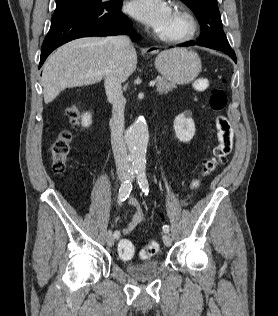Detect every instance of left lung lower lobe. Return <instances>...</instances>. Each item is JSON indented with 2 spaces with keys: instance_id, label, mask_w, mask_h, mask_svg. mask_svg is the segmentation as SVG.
I'll return each mask as SVG.
<instances>
[{
  "instance_id": "1",
  "label": "left lung lower lobe",
  "mask_w": 278,
  "mask_h": 316,
  "mask_svg": "<svg viewBox=\"0 0 278 316\" xmlns=\"http://www.w3.org/2000/svg\"><path fill=\"white\" fill-rule=\"evenodd\" d=\"M200 45L199 43H196L194 41H190V42H186V43H183V44H180V46H192V45ZM202 46V45H200ZM235 62H237V59L236 57L233 55V54H228Z\"/></svg>"
}]
</instances>
